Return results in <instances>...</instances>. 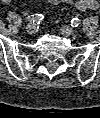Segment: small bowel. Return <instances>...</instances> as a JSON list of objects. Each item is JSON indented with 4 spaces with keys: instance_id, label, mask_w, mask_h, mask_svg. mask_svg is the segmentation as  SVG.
Masks as SVG:
<instances>
[{
    "instance_id": "c3829d8e",
    "label": "small bowel",
    "mask_w": 100,
    "mask_h": 118,
    "mask_svg": "<svg viewBox=\"0 0 100 118\" xmlns=\"http://www.w3.org/2000/svg\"><path fill=\"white\" fill-rule=\"evenodd\" d=\"M3 3H9L12 0H0ZM48 2L52 4L65 3L69 5H73L77 10H95L98 8L99 4L97 0H48Z\"/></svg>"
}]
</instances>
